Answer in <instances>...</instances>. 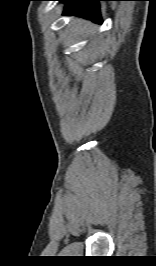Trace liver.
Segmentation results:
<instances>
[{
	"label": "liver",
	"instance_id": "6515ba94",
	"mask_svg": "<svg viewBox=\"0 0 156 266\" xmlns=\"http://www.w3.org/2000/svg\"><path fill=\"white\" fill-rule=\"evenodd\" d=\"M88 25H89V24H84L83 21L78 20L77 28H78V30H86V27H87Z\"/></svg>",
	"mask_w": 156,
	"mask_h": 266
}]
</instances>
